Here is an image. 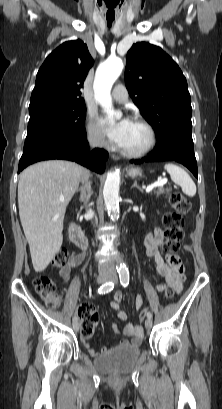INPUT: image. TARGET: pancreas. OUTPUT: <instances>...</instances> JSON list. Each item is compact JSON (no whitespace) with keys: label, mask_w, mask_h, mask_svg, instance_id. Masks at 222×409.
Returning <instances> with one entry per match:
<instances>
[{"label":"pancreas","mask_w":222,"mask_h":409,"mask_svg":"<svg viewBox=\"0 0 222 409\" xmlns=\"http://www.w3.org/2000/svg\"><path fill=\"white\" fill-rule=\"evenodd\" d=\"M165 192V190L163 189V188H158V190L157 191H155V193L157 194V196H159V195H161V194H163Z\"/></svg>","instance_id":"cf45deb5"}]
</instances>
